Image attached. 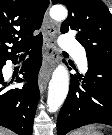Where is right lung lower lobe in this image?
Here are the masks:
<instances>
[{
	"label": "right lung lower lobe",
	"instance_id": "right-lung-lower-lobe-1",
	"mask_svg": "<svg viewBox=\"0 0 112 135\" xmlns=\"http://www.w3.org/2000/svg\"><path fill=\"white\" fill-rule=\"evenodd\" d=\"M30 49V57L23 64L20 73L27 80L22 89H10V83L4 82L2 67L8 59H17L14 55L0 62V126L6 127L18 135H31L36 107L39 101L37 74L42 64V38L36 40L25 50ZM22 82L23 79H16Z\"/></svg>",
	"mask_w": 112,
	"mask_h": 135
}]
</instances>
